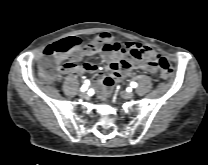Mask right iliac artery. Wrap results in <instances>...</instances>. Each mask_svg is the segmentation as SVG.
<instances>
[{
  "label": "right iliac artery",
  "instance_id": "obj_1",
  "mask_svg": "<svg viewBox=\"0 0 208 165\" xmlns=\"http://www.w3.org/2000/svg\"><path fill=\"white\" fill-rule=\"evenodd\" d=\"M88 88V84H84L82 87H81V91H86Z\"/></svg>",
  "mask_w": 208,
  "mask_h": 165
}]
</instances>
